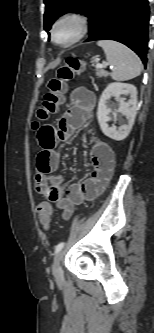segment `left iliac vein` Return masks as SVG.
<instances>
[{
  "instance_id": "1",
  "label": "left iliac vein",
  "mask_w": 154,
  "mask_h": 333,
  "mask_svg": "<svg viewBox=\"0 0 154 333\" xmlns=\"http://www.w3.org/2000/svg\"><path fill=\"white\" fill-rule=\"evenodd\" d=\"M61 259H62V252H59L56 254L54 258L53 267H52L53 275L56 280H61L63 278V271L60 265Z\"/></svg>"
}]
</instances>
